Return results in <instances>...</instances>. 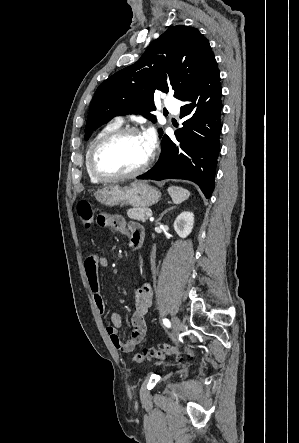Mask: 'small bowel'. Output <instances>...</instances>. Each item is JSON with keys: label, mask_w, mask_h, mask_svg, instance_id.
I'll list each match as a JSON object with an SVG mask.
<instances>
[{"label": "small bowel", "mask_w": 299, "mask_h": 443, "mask_svg": "<svg viewBox=\"0 0 299 443\" xmlns=\"http://www.w3.org/2000/svg\"><path fill=\"white\" fill-rule=\"evenodd\" d=\"M98 225L117 230L121 234L129 237V244L144 240V228L141 224L125 219L117 214L102 213L97 219ZM108 260L99 255H90L84 263V270L89 287L94 295L97 310L100 314L106 313V303L101 295L99 268H108ZM152 304V287L149 283L143 284L135 293L134 311L131 316L132 332L127 340H122L119 336V328L122 325L120 315L116 311L110 312L111 324L106 327V332L112 345L122 353H131L141 343L147 331L146 316Z\"/></svg>", "instance_id": "1"}]
</instances>
